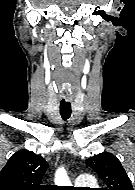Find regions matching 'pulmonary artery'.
Segmentation results:
<instances>
[{
  "mask_svg": "<svg viewBox=\"0 0 135 190\" xmlns=\"http://www.w3.org/2000/svg\"><path fill=\"white\" fill-rule=\"evenodd\" d=\"M93 181L92 177L88 174H80L75 179L76 185H89Z\"/></svg>",
  "mask_w": 135,
  "mask_h": 190,
  "instance_id": "pulmonary-artery-1",
  "label": "pulmonary artery"
}]
</instances>
